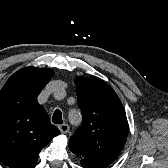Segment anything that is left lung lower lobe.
Wrapping results in <instances>:
<instances>
[{"mask_svg":"<svg viewBox=\"0 0 168 168\" xmlns=\"http://www.w3.org/2000/svg\"><path fill=\"white\" fill-rule=\"evenodd\" d=\"M81 165L84 167V168H103L97 164H94L92 162H89V161H84V160H81Z\"/></svg>","mask_w":168,"mask_h":168,"instance_id":"left-lung-lower-lobe-1","label":"left lung lower lobe"}]
</instances>
